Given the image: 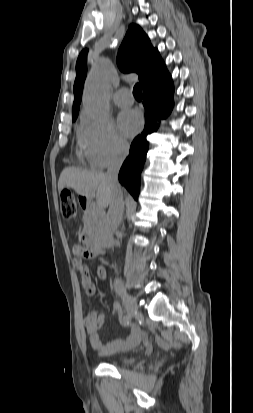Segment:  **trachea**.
Instances as JSON below:
<instances>
[{"instance_id": "trachea-1", "label": "trachea", "mask_w": 253, "mask_h": 413, "mask_svg": "<svg viewBox=\"0 0 253 413\" xmlns=\"http://www.w3.org/2000/svg\"><path fill=\"white\" fill-rule=\"evenodd\" d=\"M133 95H134L135 98H138V99L142 98V86H141V84L137 83L134 86Z\"/></svg>"}]
</instances>
